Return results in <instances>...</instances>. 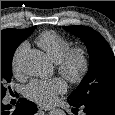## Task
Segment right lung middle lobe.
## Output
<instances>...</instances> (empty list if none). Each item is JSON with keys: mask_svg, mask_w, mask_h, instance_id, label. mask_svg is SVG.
Listing matches in <instances>:
<instances>
[{"mask_svg": "<svg viewBox=\"0 0 115 115\" xmlns=\"http://www.w3.org/2000/svg\"><path fill=\"white\" fill-rule=\"evenodd\" d=\"M15 49L1 48V98L6 94V84L12 77V59Z\"/></svg>", "mask_w": 115, "mask_h": 115, "instance_id": "1", "label": "right lung middle lobe"}]
</instances>
